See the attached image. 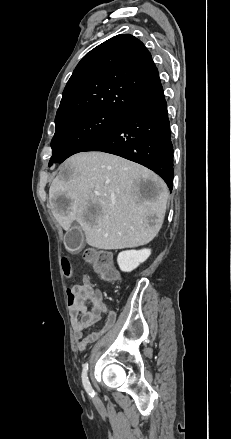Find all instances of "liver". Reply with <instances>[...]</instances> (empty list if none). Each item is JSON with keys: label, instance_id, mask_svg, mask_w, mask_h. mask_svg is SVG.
Instances as JSON below:
<instances>
[{"label": "liver", "instance_id": "1", "mask_svg": "<svg viewBox=\"0 0 231 439\" xmlns=\"http://www.w3.org/2000/svg\"><path fill=\"white\" fill-rule=\"evenodd\" d=\"M150 181L148 193L141 182ZM168 190L153 171L104 152L68 158L49 189L52 214L68 231L76 221L87 244L98 249L145 245L158 234Z\"/></svg>", "mask_w": 231, "mask_h": 439}]
</instances>
